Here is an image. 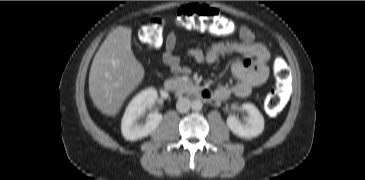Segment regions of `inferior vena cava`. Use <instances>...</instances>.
<instances>
[{"label":"inferior vena cava","instance_id":"obj_1","mask_svg":"<svg viewBox=\"0 0 365 180\" xmlns=\"http://www.w3.org/2000/svg\"><path fill=\"white\" fill-rule=\"evenodd\" d=\"M191 107V101L188 98H180L176 103V108L180 113L187 112Z\"/></svg>","mask_w":365,"mask_h":180}]
</instances>
